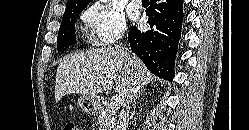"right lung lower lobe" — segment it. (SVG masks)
<instances>
[{
	"instance_id": "98d812e1",
	"label": "right lung lower lobe",
	"mask_w": 249,
	"mask_h": 130,
	"mask_svg": "<svg viewBox=\"0 0 249 130\" xmlns=\"http://www.w3.org/2000/svg\"><path fill=\"white\" fill-rule=\"evenodd\" d=\"M151 30L128 33L131 50L147 68L168 81L174 78V62L183 20V0H151L146 10Z\"/></svg>"
}]
</instances>
